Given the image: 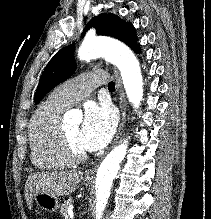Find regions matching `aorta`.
Segmentation results:
<instances>
[{
    "label": "aorta",
    "instance_id": "aorta-1",
    "mask_svg": "<svg viewBox=\"0 0 211 219\" xmlns=\"http://www.w3.org/2000/svg\"><path fill=\"white\" fill-rule=\"evenodd\" d=\"M81 60L104 57L120 70L123 85L129 101L138 107L143 97V79L140 65L133 52L125 45L102 41L98 38L86 39L78 50ZM127 150V141L116 146L102 161L96 174V214L101 219L110 196L111 187L120 169Z\"/></svg>",
    "mask_w": 211,
    "mask_h": 219
}]
</instances>
